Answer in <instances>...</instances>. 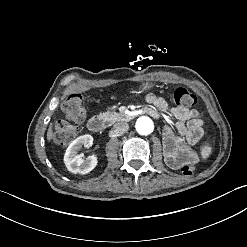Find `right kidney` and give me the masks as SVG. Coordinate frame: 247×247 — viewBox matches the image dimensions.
Returning <instances> with one entry per match:
<instances>
[{
	"mask_svg": "<svg viewBox=\"0 0 247 247\" xmlns=\"http://www.w3.org/2000/svg\"><path fill=\"white\" fill-rule=\"evenodd\" d=\"M93 144V137L89 134L79 136L67 148L64 155V163L67 169L74 174H87L97 165V157L91 155L85 160L78 154L81 147H90Z\"/></svg>",
	"mask_w": 247,
	"mask_h": 247,
	"instance_id": "1",
	"label": "right kidney"
}]
</instances>
